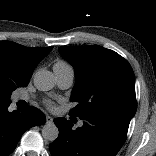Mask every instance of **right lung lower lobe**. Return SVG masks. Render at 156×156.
Returning <instances> with one entry per match:
<instances>
[{
	"label": "right lung lower lobe",
	"instance_id": "98d812e1",
	"mask_svg": "<svg viewBox=\"0 0 156 156\" xmlns=\"http://www.w3.org/2000/svg\"><path fill=\"white\" fill-rule=\"evenodd\" d=\"M9 101L0 100V156L14 151L22 134L33 126L45 123V115L35 107L9 112Z\"/></svg>",
	"mask_w": 156,
	"mask_h": 156
}]
</instances>
